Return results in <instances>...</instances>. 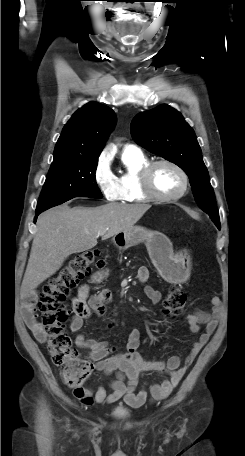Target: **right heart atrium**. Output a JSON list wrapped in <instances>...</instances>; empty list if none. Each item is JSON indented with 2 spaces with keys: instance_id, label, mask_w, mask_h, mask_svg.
I'll use <instances>...</instances> for the list:
<instances>
[{
  "instance_id": "d8ad5b80",
  "label": "right heart atrium",
  "mask_w": 245,
  "mask_h": 456,
  "mask_svg": "<svg viewBox=\"0 0 245 456\" xmlns=\"http://www.w3.org/2000/svg\"><path fill=\"white\" fill-rule=\"evenodd\" d=\"M93 179L108 201H116L120 198V190L115 175L110 170L108 162L104 158H100L94 168Z\"/></svg>"
}]
</instances>
